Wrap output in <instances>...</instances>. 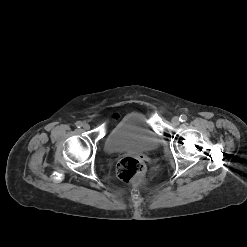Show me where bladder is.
Instances as JSON below:
<instances>
[{
	"mask_svg": "<svg viewBox=\"0 0 247 247\" xmlns=\"http://www.w3.org/2000/svg\"><path fill=\"white\" fill-rule=\"evenodd\" d=\"M158 146V137L140 112L125 115L109 132L105 150L109 153L123 151L149 152Z\"/></svg>",
	"mask_w": 247,
	"mask_h": 247,
	"instance_id": "31cf9c89",
	"label": "bladder"
}]
</instances>
